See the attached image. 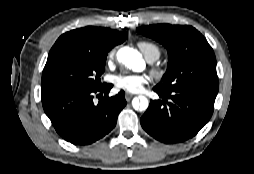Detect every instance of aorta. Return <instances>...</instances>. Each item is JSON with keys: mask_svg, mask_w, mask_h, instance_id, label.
Returning a JSON list of instances; mask_svg holds the SVG:
<instances>
[{"mask_svg": "<svg viewBox=\"0 0 254 174\" xmlns=\"http://www.w3.org/2000/svg\"><path fill=\"white\" fill-rule=\"evenodd\" d=\"M117 59L126 67L133 70H138L143 64L141 54L129 47L121 48L117 53ZM132 105L135 110L144 111L148 108L149 102L146 97L140 96L139 98L133 99Z\"/></svg>", "mask_w": 254, "mask_h": 174, "instance_id": "aorta-1", "label": "aorta"}]
</instances>
